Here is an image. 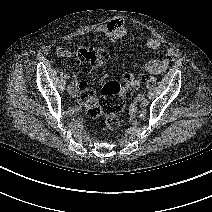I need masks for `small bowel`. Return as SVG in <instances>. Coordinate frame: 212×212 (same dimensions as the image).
Here are the masks:
<instances>
[{"mask_svg": "<svg viewBox=\"0 0 212 212\" xmlns=\"http://www.w3.org/2000/svg\"><path fill=\"white\" fill-rule=\"evenodd\" d=\"M93 32L104 34L108 42L114 44L127 35V28L121 19H113L105 25L97 27ZM145 46L151 50L163 49L165 54L169 57L175 54V50L172 46L167 45L157 38L146 39ZM56 53L60 57H71L74 55L72 51L63 46L57 47ZM167 67V60H149L144 64V69L149 74H162L166 71ZM88 89L87 82L80 83V99L85 96Z\"/></svg>", "mask_w": 212, "mask_h": 212, "instance_id": "small-bowel-1", "label": "small bowel"}]
</instances>
